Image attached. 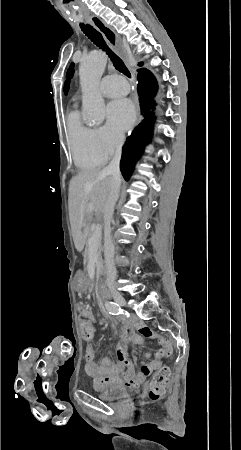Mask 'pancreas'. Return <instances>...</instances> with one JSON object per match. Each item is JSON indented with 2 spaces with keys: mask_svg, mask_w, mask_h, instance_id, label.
Here are the masks:
<instances>
[{
  "mask_svg": "<svg viewBox=\"0 0 241 450\" xmlns=\"http://www.w3.org/2000/svg\"><path fill=\"white\" fill-rule=\"evenodd\" d=\"M86 236H89V238H91V234H88V232H86ZM97 244V256H98V260L103 268V260L101 258V252H102V242H101V238H99V240H97L96 242Z\"/></svg>",
  "mask_w": 241,
  "mask_h": 450,
  "instance_id": "1",
  "label": "pancreas"
}]
</instances>
